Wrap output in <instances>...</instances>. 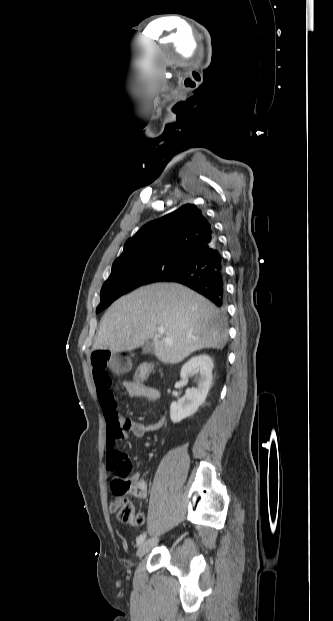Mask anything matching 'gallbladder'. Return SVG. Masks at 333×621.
<instances>
[{
    "mask_svg": "<svg viewBox=\"0 0 333 621\" xmlns=\"http://www.w3.org/2000/svg\"><path fill=\"white\" fill-rule=\"evenodd\" d=\"M153 351H154V346L150 342L145 343L142 346V353H144V354H150V353H153Z\"/></svg>",
    "mask_w": 333,
    "mask_h": 621,
    "instance_id": "gallbladder-1",
    "label": "gallbladder"
}]
</instances>
